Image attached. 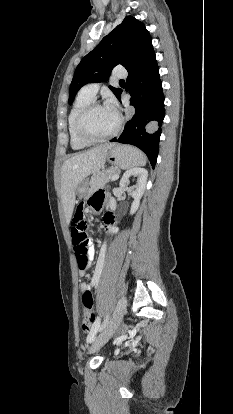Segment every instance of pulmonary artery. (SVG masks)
<instances>
[{
    "mask_svg": "<svg viewBox=\"0 0 233 414\" xmlns=\"http://www.w3.org/2000/svg\"><path fill=\"white\" fill-rule=\"evenodd\" d=\"M126 76H127V72L123 68H116L113 71V77L114 78H125ZM98 88H99V84L90 83V84L85 85L82 88L81 92H83L84 94L94 98L97 91H98Z\"/></svg>",
    "mask_w": 233,
    "mask_h": 414,
    "instance_id": "obj_1",
    "label": "pulmonary artery"
}]
</instances>
